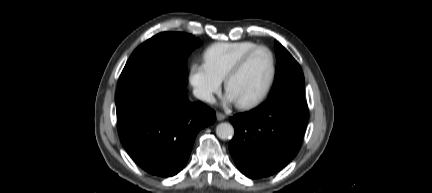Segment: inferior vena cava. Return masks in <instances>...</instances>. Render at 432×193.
<instances>
[{"instance_id": "inferior-vena-cava-1", "label": "inferior vena cava", "mask_w": 432, "mask_h": 193, "mask_svg": "<svg viewBox=\"0 0 432 193\" xmlns=\"http://www.w3.org/2000/svg\"><path fill=\"white\" fill-rule=\"evenodd\" d=\"M193 94L195 97H197L198 99H201L203 101L209 102V103H214L215 102V98L212 95V93L206 89L203 88H195L193 90Z\"/></svg>"}]
</instances>
